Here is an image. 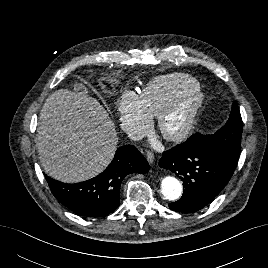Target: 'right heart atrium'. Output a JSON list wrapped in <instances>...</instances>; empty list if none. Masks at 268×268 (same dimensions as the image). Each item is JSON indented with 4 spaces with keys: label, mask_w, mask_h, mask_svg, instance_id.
<instances>
[{
    "label": "right heart atrium",
    "mask_w": 268,
    "mask_h": 268,
    "mask_svg": "<svg viewBox=\"0 0 268 268\" xmlns=\"http://www.w3.org/2000/svg\"><path fill=\"white\" fill-rule=\"evenodd\" d=\"M116 109L122 127L128 131H143L153 118L141 95L131 91L119 97Z\"/></svg>",
    "instance_id": "right-heart-atrium-1"
}]
</instances>
